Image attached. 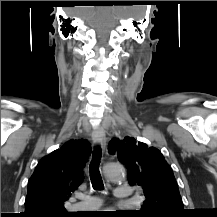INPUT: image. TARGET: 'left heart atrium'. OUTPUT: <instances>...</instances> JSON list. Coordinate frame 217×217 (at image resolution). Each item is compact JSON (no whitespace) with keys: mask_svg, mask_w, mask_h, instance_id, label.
<instances>
[{"mask_svg":"<svg viewBox=\"0 0 217 217\" xmlns=\"http://www.w3.org/2000/svg\"><path fill=\"white\" fill-rule=\"evenodd\" d=\"M111 213H112V212H106V213H104V214H102V215H112Z\"/></svg>","mask_w":217,"mask_h":217,"instance_id":"obj_1","label":"left heart atrium"}]
</instances>
